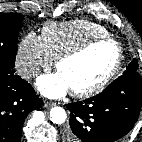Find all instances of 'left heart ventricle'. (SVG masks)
Returning <instances> with one entry per match:
<instances>
[{"instance_id": "obj_1", "label": "left heart ventricle", "mask_w": 142, "mask_h": 142, "mask_svg": "<svg viewBox=\"0 0 142 142\" xmlns=\"http://www.w3.org/2000/svg\"><path fill=\"white\" fill-rule=\"evenodd\" d=\"M117 50L112 44H100L83 55L61 64L58 72L63 75L70 90L85 89L101 80L112 68Z\"/></svg>"}]
</instances>
